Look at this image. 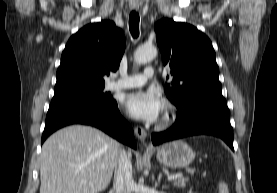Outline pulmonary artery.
<instances>
[{
    "mask_svg": "<svg viewBox=\"0 0 277 193\" xmlns=\"http://www.w3.org/2000/svg\"><path fill=\"white\" fill-rule=\"evenodd\" d=\"M154 69L152 67H147L143 73L135 74L128 76L125 79H119L117 81L111 82L108 85L109 89L116 90V89H126V88H133L139 87L146 83V81L153 77Z\"/></svg>",
    "mask_w": 277,
    "mask_h": 193,
    "instance_id": "1",
    "label": "pulmonary artery"
}]
</instances>
